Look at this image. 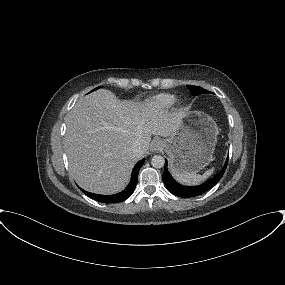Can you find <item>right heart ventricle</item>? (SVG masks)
Returning <instances> with one entry per match:
<instances>
[{"mask_svg":"<svg viewBox=\"0 0 285 285\" xmlns=\"http://www.w3.org/2000/svg\"><path fill=\"white\" fill-rule=\"evenodd\" d=\"M176 102V97L172 94H160L153 98L151 105L156 111H166Z\"/></svg>","mask_w":285,"mask_h":285,"instance_id":"right-heart-ventricle-1","label":"right heart ventricle"}]
</instances>
